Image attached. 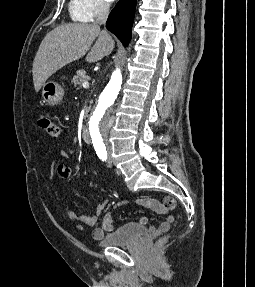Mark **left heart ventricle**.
I'll use <instances>...</instances> for the list:
<instances>
[{
	"mask_svg": "<svg viewBox=\"0 0 255 287\" xmlns=\"http://www.w3.org/2000/svg\"><path fill=\"white\" fill-rule=\"evenodd\" d=\"M96 33H100V32H96ZM92 39H102V38H92ZM90 48H102V47H90Z\"/></svg>",
	"mask_w": 255,
	"mask_h": 287,
	"instance_id": "b2bd125f",
	"label": "left heart ventricle"
}]
</instances>
